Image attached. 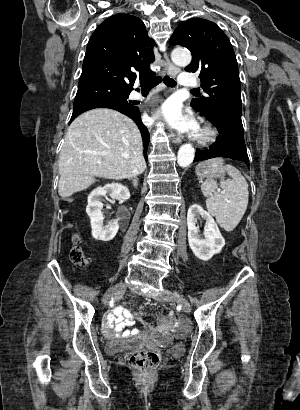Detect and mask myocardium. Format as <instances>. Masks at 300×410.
<instances>
[{
  "label": "myocardium",
  "instance_id": "myocardium-1",
  "mask_svg": "<svg viewBox=\"0 0 300 410\" xmlns=\"http://www.w3.org/2000/svg\"><path fill=\"white\" fill-rule=\"evenodd\" d=\"M218 135L216 128L210 123H203L195 136V142L199 146H207L213 143Z\"/></svg>",
  "mask_w": 300,
  "mask_h": 410
}]
</instances>
